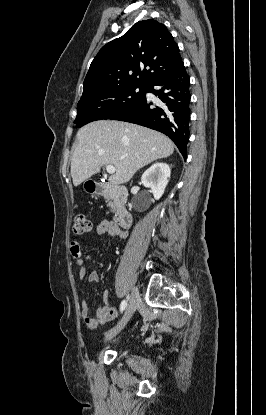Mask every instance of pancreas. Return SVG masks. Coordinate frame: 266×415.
<instances>
[{"instance_id":"pancreas-1","label":"pancreas","mask_w":266,"mask_h":415,"mask_svg":"<svg viewBox=\"0 0 266 415\" xmlns=\"http://www.w3.org/2000/svg\"><path fill=\"white\" fill-rule=\"evenodd\" d=\"M105 198L108 201V206H109L111 212H114L115 209H116L115 202H114V196L112 194L108 193V194L105 195Z\"/></svg>"}]
</instances>
